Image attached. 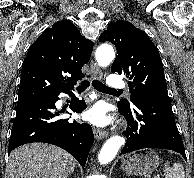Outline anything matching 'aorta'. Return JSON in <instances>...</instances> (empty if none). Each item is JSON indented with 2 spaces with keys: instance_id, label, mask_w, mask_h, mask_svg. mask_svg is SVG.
<instances>
[{
  "instance_id": "obj_1",
  "label": "aorta",
  "mask_w": 194,
  "mask_h": 178,
  "mask_svg": "<svg viewBox=\"0 0 194 178\" xmlns=\"http://www.w3.org/2000/svg\"><path fill=\"white\" fill-rule=\"evenodd\" d=\"M95 57L99 66L106 67L114 60L115 52L111 45L102 44L97 48ZM124 143V138L119 135L110 137L98 155L99 163L105 165L112 161Z\"/></svg>"
}]
</instances>
